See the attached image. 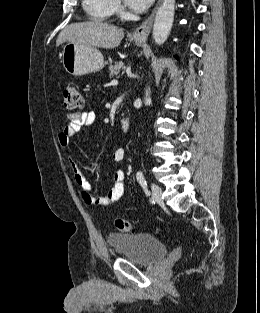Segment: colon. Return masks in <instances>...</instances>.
I'll return each mask as SVG.
<instances>
[{
  "label": "colon",
  "mask_w": 260,
  "mask_h": 313,
  "mask_svg": "<svg viewBox=\"0 0 260 313\" xmlns=\"http://www.w3.org/2000/svg\"><path fill=\"white\" fill-rule=\"evenodd\" d=\"M64 106L68 110H76L84 105V96L79 89L73 84H65L62 89ZM115 228L122 233H130L135 231L134 222L126 219H116L114 221Z\"/></svg>",
  "instance_id": "colon-1"
}]
</instances>
